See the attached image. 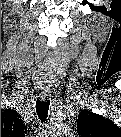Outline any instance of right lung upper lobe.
<instances>
[{"mask_svg": "<svg viewBox=\"0 0 121 137\" xmlns=\"http://www.w3.org/2000/svg\"><path fill=\"white\" fill-rule=\"evenodd\" d=\"M24 129L22 120L16 111L11 109L1 111V135H21Z\"/></svg>", "mask_w": 121, "mask_h": 137, "instance_id": "right-lung-upper-lobe-1", "label": "right lung upper lobe"}]
</instances>
